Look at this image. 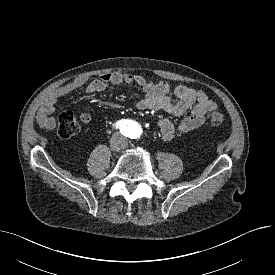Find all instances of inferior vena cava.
Here are the masks:
<instances>
[{"label":"inferior vena cava","mask_w":275,"mask_h":275,"mask_svg":"<svg viewBox=\"0 0 275 275\" xmlns=\"http://www.w3.org/2000/svg\"><path fill=\"white\" fill-rule=\"evenodd\" d=\"M118 138L121 140V143H120L119 146H114V147H113V149H115V150L123 149V148H125L126 145H127V142H126V138H125V137L119 135Z\"/></svg>","instance_id":"1"}]
</instances>
